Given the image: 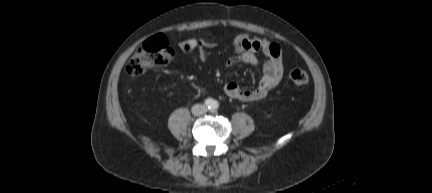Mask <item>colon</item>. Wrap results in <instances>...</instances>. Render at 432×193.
I'll return each instance as SVG.
<instances>
[{"label":"colon","instance_id":"obj_1","mask_svg":"<svg viewBox=\"0 0 432 193\" xmlns=\"http://www.w3.org/2000/svg\"><path fill=\"white\" fill-rule=\"evenodd\" d=\"M173 57L174 50L166 38L156 35L142 44L127 62L125 70L131 76H138L150 69L167 65ZM289 78L299 87H304L309 83V75L302 69H292L289 72Z\"/></svg>","mask_w":432,"mask_h":193}]
</instances>
